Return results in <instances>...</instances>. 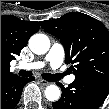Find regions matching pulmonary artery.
Instances as JSON below:
<instances>
[{"label":"pulmonary artery","mask_w":109,"mask_h":109,"mask_svg":"<svg viewBox=\"0 0 109 109\" xmlns=\"http://www.w3.org/2000/svg\"><path fill=\"white\" fill-rule=\"evenodd\" d=\"M63 59H64L63 47L60 44H54L42 61L23 63V64H20L18 68L25 69V70L41 69L45 65L49 64L53 70H56L62 64ZM56 74L59 80L63 79L64 82L68 84L74 82L75 80L74 75L64 77V73L62 72H59Z\"/></svg>","instance_id":"pulmonary-artery-1"}]
</instances>
